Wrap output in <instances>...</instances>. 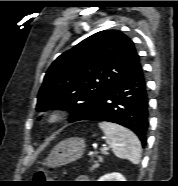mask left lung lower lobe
Returning a JSON list of instances; mask_svg holds the SVG:
<instances>
[{
    "mask_svg": "<svg viewBox=\"0 0 178 186\" xmlns=\"http://www.w3.org/2000/svg\"><path fill=\"white\" fill-rule=\"evenodd\" d=\"M148 115L146 82L140 65L121 78L95 106L74 121L99 120L120 124L131 129L144 146L149 124Z\"/></svg>",
    "mask_w": 178,
    "mask_h": 186,
    "instance_id": "1",
    "label": "left lung lower lobe"
}]
</instances>
